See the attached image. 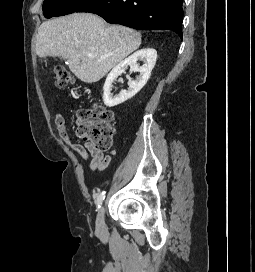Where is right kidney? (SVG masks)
Here are the masks:
<instances>
[{
    "label": "right kidney",
    "instance_id": "right-kidney-1",
    "mask_svg": "<svg viewBox=\"0 0 255 272\" xmlns=\"http://www.w3.org/2000/svg\"><path fill=\"white\" fill-rule=\"evenodd\" d=\"M157 59V52L152 48H144L136 51L124 61L120 62L112 71L108 74L104 87H103V101L108 107L117 106L137 94L147 83L151 71L155 66ZM138 60H143L144 64L139 66ZM130 67V71H138L140 75L136 81L129 82V89L122 90L119 95L113 97L110 93L112 89L113 81L120 76L127 67Z\"/></svg>",
    "mask_w": 255,
    "mask_h": 272
}]
</instances>
